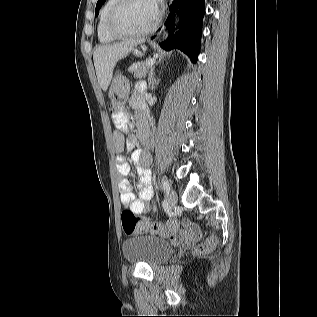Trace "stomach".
Wrapping results in <instances>:
<instances>
[{
    "label": "stomach",
    "instance_id": "1",
    "mask_svg": "<svg viewBox=\"0 0 317 317\" xmlns=\"http://www.w3.org/2000/svg\"><path fill=\"white\" fill-rule=\"evenodd\" d=\"M141 48L143 51L146 50V46L145 45H141ZM134 54L141 56L142 52L139 51L138 49H134ZM117 69L118 70H128L129 69V64L128 63H118L117 64Z\"/></svg>",
    "mask_w": 317,
    "mask_h": 317
}]
</instances>
